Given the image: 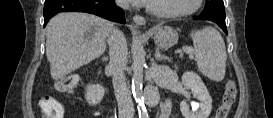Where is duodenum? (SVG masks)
Here are the masks:
<instances>
[{"label": "duodenum", "instance_id": "duodenum-1", "mask_svg": "<svg viewBox=\"0 0 273 118\" xmlns=\"http://www.w3.org/2000/svg\"><path fill=\"white\" fill-rule=\"evenodd\" d=\"M97 84L102 88L105 93H107V88L101 81L97 80Z\"/></svg>", "mask_w": 273, "mask_h": 118}]
</instances>
